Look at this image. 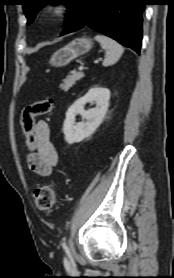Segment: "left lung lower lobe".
I'll list each match as a JSON object with an SVG mask.
<instances>
[{
	"label": "left lung lower lobe",
	"mask_w": 174,
	"mask_h": 278,
	"mask_svg": "<svg viewBox=\"0 0 174 278\" xmlns=\"http://www.w3.org/2000/svg\"><path fill=\"white\" fill-rule=\"evenodd\" d=\"M146 0H83L61 35L90 27L140 52Z\"/></svg>",
	"instance_id": "1"
}]
</instances>
